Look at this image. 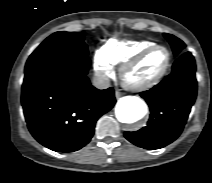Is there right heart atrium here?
<instances>
[{"label":"right heart atrium","mask_w":212,"mask_h":183,"mask_svg":"<svg viewBox=\"0 0 212 183\" xmlns=\"http://www.w3.org/2000/svg\"><path fill=\"white\" fill-rule=\"evenodd\" d=\"M94 70L101 80H107L113 75L112 64L107 59L103 49H99L94 54Z\"/></svg>","instance_id":"obj_1"}]
</instances>
